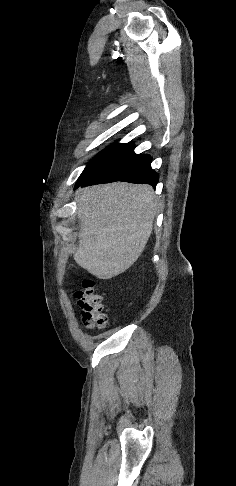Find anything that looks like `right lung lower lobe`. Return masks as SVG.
Here are the masks:
<instances>
[{
	"mask_svg": "<svg viewBox=\"0 0 236 486\" xmlns=\"http://www.w3.org/2000/svg\"><path fill=\"white\" fill-rule=\"evenodd\" d=\"M150 164L149 155H137L133 152V144H126L76 187L115 181L150 184L155 187L159 176L151 169Z\"/></svg>",
	"mask_w": 236,
	"mask_h": 486,
	"instance_id": "1",
	"label": "right lung lower lobe"
}]
</instances>
